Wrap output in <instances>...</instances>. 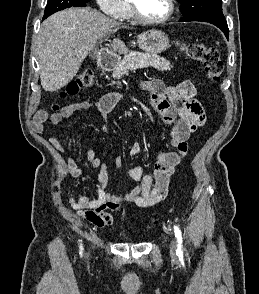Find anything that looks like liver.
<instances>
[{"label": "liver", "instance_id": "1", "mask_svg": "<svg viewBox=\"0 0 259 294\" xmlns=\"http://www.w3.org/2000/svg\"><path fill=\"white\" fill-rule=\"evenodd\" d=\"M123 27L89 7L66 9L44 20L36 40L43 89L53 92L66 86L98 42ZM111 47L120 54L128 52L119 38L113 39Z\"/></svg>", "mask_w": 259, "mask_h": 294}]
</instances>
